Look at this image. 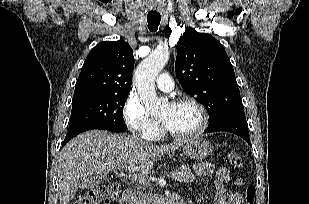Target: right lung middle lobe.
Wrapping results in <instances>:
<instances>
[{"mask_svg":"<svg viewBox=\"0 0 309 204\" xmlns=\"http://www.w3.org/2000/svg\"><path fill=\"white\" fill-rule=\"evenodd\" d=\"M128 94H111L72 103L69 132L83 127L123 132V108Z\"/></svg>","mask_w":309,"mask_h":204,"instance_id":"obj_1","label":"right lung middle lobe"}]
</instances>
